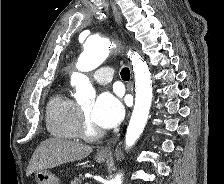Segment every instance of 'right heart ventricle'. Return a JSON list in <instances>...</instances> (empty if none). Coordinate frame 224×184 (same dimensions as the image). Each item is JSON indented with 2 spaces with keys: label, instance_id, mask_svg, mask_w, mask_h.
I'll return each instance as SVG.
<instances>
[{
  "label": "right heart ventricle",
  "instance_id": "1",
  "mask_svg": "<svg viewBox=\"0 0 224 184\" xmlns=\"http://www.w3.org/2000/svg\"><path fill=\"white\" fill-rule=\"evenodd\" d=\"M80 109L65 92L55 93L46 106V126L55 137L75 139L78 137Z\"/></svg>",
  "mask_w": 224,
  "mask_h": 184
}]
</instances>
